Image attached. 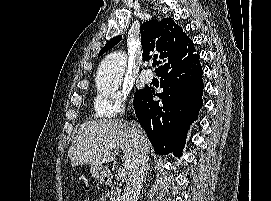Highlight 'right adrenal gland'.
Returning a JSON list of instances; mask_svg holds the SVG:
<instances>
[{
	"label": "right adrenal gland",
	"mask_w": 271,
	"mask_h": 201,
	"mask_svg": "<svg viewBox=\"0 0 271 201\" xmlns=\"http://www.w3.org/2000/svg\"><path fill=\"white\" fill-rule=\"evenodd\" d=\"M149 168H150V164L148 165V168H147V173H148ZM146 175H147V174H146ZM145 180H146V178H145Z\"/></svg>",
	"instance_id": "2a0ac1e0"
}]
</instances>
